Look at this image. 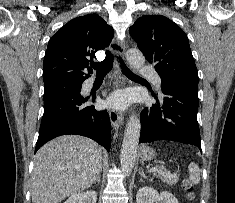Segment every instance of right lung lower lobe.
<instances>
[{
    "label": "right lung lower lobe",
    "instance_id": "obj_1",
    "mask_svg": "<svg viewBox=\"0 0 235 203\" xmlns=\"http://www.w3.org/2000/svg\"><path fill=\"white\" fill-rule=\"evenodd\" d=\"M81 88L44 102L39 137L35 152L49 140L65 134L89 137L107 151L111 143V123L107 111H97L93 105L86 106L80 94ZM95 96L92 97V102Z\"/></svg>",
    "mask_w": 235,
    "mask_h": 203
}]
</instances>
